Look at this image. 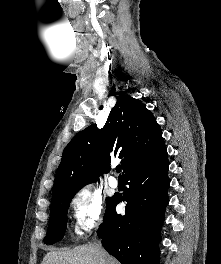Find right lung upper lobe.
<instances>
[{"instance_id":"obj_1","label":"right lung upper lobe","mask_w":221,"mask_h":264,"mask_svg":"<svg viewBox=\"0 0 221 264\" xmlns=\"http://www.w3.org/2000/svg\"><path fill=\"white\" fill-rule=\"evenodd\" d=\"M165 152L161 128L146 105L129 95H120L102 129L90 125L64 149L51 202L96 182L101 172L109 170L114 157L122 159L124 176L154 162Z\"/></svg>"}]
</instances>
